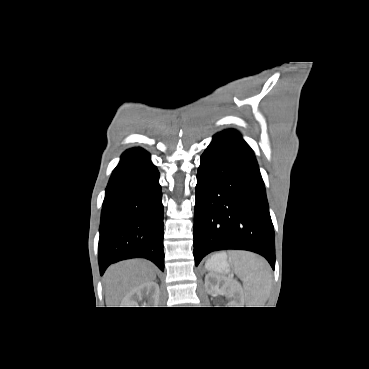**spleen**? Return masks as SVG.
Returning a JSON list of instances; mask_svg holds the SVG:
<instances>
[{"label":"spleen","mask_w":369,"mask_h":369,"mask_svg":"<svg viewBox=\"0 0 369 369\" xmlns=\"http://www.w3.org/2000/svg\"><path fill=\"white\" fill-rule=\"evenodd\" d=\"M229 261L243 281L248 307H262L268 298L272 281L269 264L256 254L244 251L229 252Z\"/></svg>","instance_id":"obj_1"}]
</instances>
